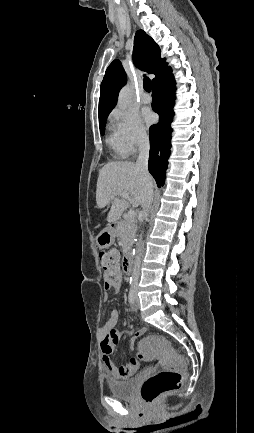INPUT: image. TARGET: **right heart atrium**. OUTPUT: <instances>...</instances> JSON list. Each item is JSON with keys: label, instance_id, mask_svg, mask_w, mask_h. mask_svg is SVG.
<instances>
[{"label": "right heart atrium", "instance_id": "d8ad5b80", "mask_svg": "<svg viewBox=\"0 0 254 433\" xmlns=\"http://www.w3.org/2000/svg\"><path fill=\"white\" fill-rule=\"evenodd\" d=\"M111 120L113 131L125 155H133L147 144L148 132L136 112L115 109Z\"/></svg>", "mask_w": 254, "mask_h": 433}]
</instances>
